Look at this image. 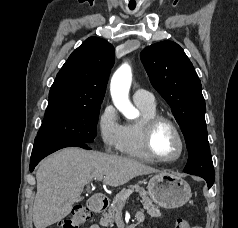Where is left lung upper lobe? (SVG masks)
<instances>
[{
    "label": "left lung upper lobe",
    "instance_id": "obj_1",
    "mask_svg": "<svg viewBox=\"0 0 238 228\" xmlns=\"http://www.w3.org/2000/svg\"><path fill=\"white\" fill-rule=\"evenodd\" d=\"M140 56L151 84L171 107L184 134L189 156L184 171L215 177L205 123V100L191 61L172 41L148 46Z\"/></svg>",
    "mask_w": 238,
    "mask_h": 228
}]
</instances>
